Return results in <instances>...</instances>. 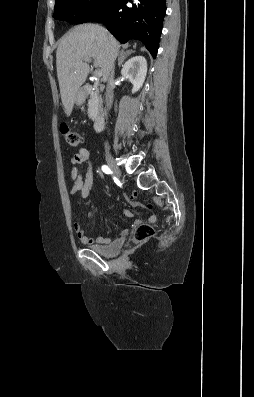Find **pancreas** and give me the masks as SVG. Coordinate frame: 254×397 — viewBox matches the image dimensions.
Instances as JSON below:
<instances>
[{"label": "pancreas", "mask_w": 254, "mask_h": 397, "mask_svg": "<svg viewBox=\"0 0 254 397\" xmlns=\"http://www.w3.org/2000/svg\"><path fill=\"white\" fill-rule=\"evenodd\" d=\"M94 88L95 90L90 93V98L88 100V117L90 119H94L97 116L99 108L102 104V99L99 95V91L96 85L94 86Z\"/></svg>", "instance_id": "pancreas-1"}]
</instances>
